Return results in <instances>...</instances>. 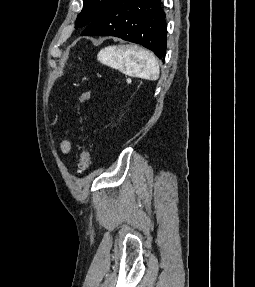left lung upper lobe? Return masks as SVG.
Instances as JSON below:
<instances>
[{
    "mask_svg": "<svg viewBox=\"0 0 255 287\" xmlns=\"http://www.w3.org/2000/svg\"><path fill=\"white\" fill-rule=\"evenodd\" d=\"M112 0H83V9L76 20V28L88 25Z\"/></svg>",
    "mask_w": 255,
    "mask_h": 287,
    "instance_id": "1",
    "label": "left lung upper lobe"
}]
</instances>
